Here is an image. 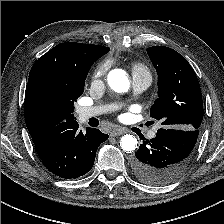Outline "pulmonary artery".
Instances as JSON below:
<instances>
[{
  "mask_svg": "<svg viewBox=\"0 0 224 224\" xmlns=\"http://www.w3.org/2000/svg\"><path fill=\"white\" fill-rule=\"evenodd\" d=\"M151 84V77L146 74H138L133 76V92L134 96H138L143 93ZM111 109L110 106H92V107H84L79 109L78 111V120L79 122H85L91 117L98 116L103 114ZM156 135L155 130H151L148 133L149 138H154Z\"/></svg>",
  "mask_w": 224,
  "mask_h": 224,
  "instance_id": "obj_1",
  "label": "pulmonary artery"
}]
</instances>
